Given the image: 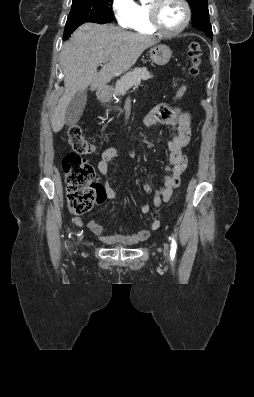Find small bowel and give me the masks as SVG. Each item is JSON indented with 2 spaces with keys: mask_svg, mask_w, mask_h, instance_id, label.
Wrapping results in <instances>:
<instances>
[{
  "mask_svg": "<svg viewBox=\"0 0 254 397\" xmlns=\"http://www.w3.org/2000/svg\"><path fill=\"white\" fill-rule=\"evenodd\" d=\"M162 124L172 131V137L167 141L169 158L166 165V175L163 185L153 191L151 186L146 183L144 189L147 193H153V205L158 207L162 201H168L173 191L180 185L181 175L187 168L188 160L184 148L191 139V117L181 107H171L166 103L156 105L144 118L143 126L149 129L155 124ZM118 150L110 147L103 151L101 159L97 164L98 171L102 176L103 183L99 184L100 198L97 204H102L106 199L116 200L117 193L112 187L110 179V162L117 156ZM150 206L144 204L140 207L142 214L147 213ZM77 226H83V221L79 217L74 218ZM160 225L159 220H154L150 228L143 229L136 233L127 232L121 225H116L118 232H110L99 222L91 220L87 223V228L96 237L106 244H136L147 240L152 232Z\"/></svg>",
  "mask_w": 254,
  "mask_h": 397,
  "instance_id": "c3829d8e",
  "label": "small bowel"
}]
</instances>
